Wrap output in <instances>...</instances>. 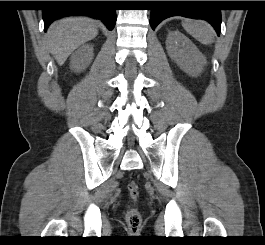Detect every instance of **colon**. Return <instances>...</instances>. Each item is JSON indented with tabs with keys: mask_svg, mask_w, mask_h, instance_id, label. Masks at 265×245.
Returning <instances> with one entry per match:
<instances>
[{
	"mask_svg": "<svg viewBox=\"0 0 265 245\" xmlns=\"http://www.w3.org/2000/svg\"><path fill=\"white\" fill-rule=\"evenodd\" d=\"M129 195L133 202H136L139 197V186L135 182L128 185ZM126 220L130 228L131 234L137 236L139 234V227L142 223V215L138 208L131 206L126 211Z\"/></svg>",
	"mask_w": 265,
	"mask_h": 245,
	"instance_id": "obj_1",
	"label": "colon"
}]
</instances>
